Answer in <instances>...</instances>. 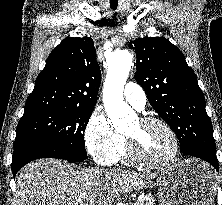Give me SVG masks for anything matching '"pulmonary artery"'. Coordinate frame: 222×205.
Listing matches in <instances>:
<instances>
[{
	"label": "pulmonary artery",
	"instance_id": "e3ab8cb5",
	"mask_svg": "<svg viewBox=\"0 0 222 205\" xmlns=\"http://www.w3.org/2000/svg\"><path fill=\"white\" fill-rule=\"evenodd\" d=\"M124 98L137 109H143L146 103V95L143 89L134 82L126 84L124 88Z\"/></svg>",
	"mask_w": 222,
	"mask_h": 205
}]
</instances>
